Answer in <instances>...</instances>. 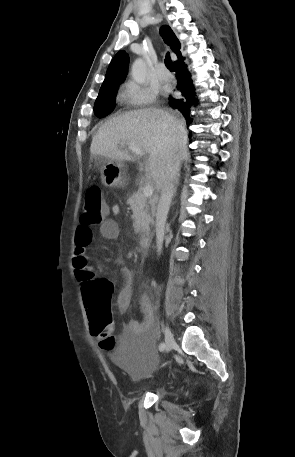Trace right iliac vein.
Masks as SVG:
<instances>
[{
	"label": "right iliac vein",
	"mask_w": 295,
	"mask_h": 457,
	"mask_svg": "<svg viewBox=\"0 0 295 457\" xmlns=\"http://www.w3.org/2000/svg\"><path fill=\"white\" fill-rule=\"evenodd\" d=\"M175 344L173 334L168 326L165 328V351L169 352L172 350Z\"/></svg>",
	"instance_id": "1"
}]
</instances>
